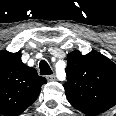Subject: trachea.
<instances>
[{"mask_svg": "<svg viewBox=\"0 0 116 116\" xmlns=\"http://www.w3.org/2000/svg\"><path fill=\"white\" fill-rule=\"evenodd\" d=\"M39 66H40V74L41 75H51L52 74V70L46 61H44V60L40 61Z\"/></svg>", "mask_w": 116, "mask_h": 116, "instance_id": "trachea-1", "label": "trachea"}]
</instances>
